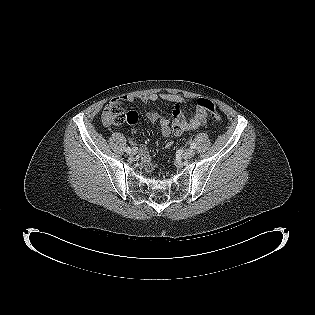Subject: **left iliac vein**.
Returning a JSON list of instances; mask_svg holds the SVG:
<instances>
[{
	"mask_svg": "<svg viewBox=\"0 0 315 315\" xmlns=\"http://www.w3.org/2000/svg\"><path fill=\"white\" fill-rule=\"evenodd\" d=\"M194 154H195L194 150H192V149H186V150L184 151V153H183V157H184L185 159H190V158H192V157L194 156Z\"/></svg>",
	"mask_w": 315,
	"mask_h": 315,
	"instance_id": "1",
	"label": "left iliac vein"
}]
</instances>
